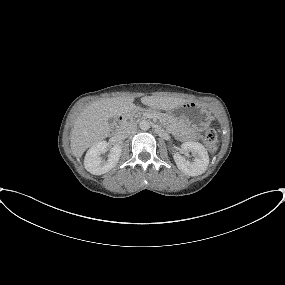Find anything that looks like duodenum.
I'll list each match as a JSON object with an SVG mask.
<instances>
[{
	"instance_id": "obj_1",
	"label": "duodenum",
	"mask_w": 285,
	"mask_h": 285,
	"mask_svg": "<svg viewBox=\"0 0 285 285\" xmlns=\"http://www.w3.org/2000/svg\"><path fill=\"white\" fill-rule=\"evenodd\" d=\"M128 114L125 112L118 113L112 127L113 133L118 136L125 128Z\"/></svg>"
}]
</instances>
